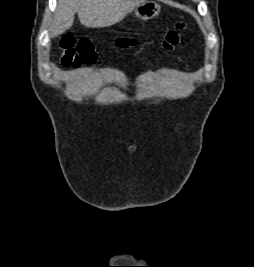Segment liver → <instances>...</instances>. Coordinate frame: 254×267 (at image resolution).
<instances>
[{
  "label": "liver",
  "instance_id": "obj_1",
  "mask_svg": "<svg viewBox=\"0 0 254 267\" xmlns=\"http://www.w3.org/2000/svg\"><path fill=\"white\" fill-rule=\"evenodd\" d=\"M145 0H58L53 19L52 37L63 34L73 22L75 13L87 28H104L123 19Z\"/></svg>",
  "mask_w": 254,
  "mask_h": 267
}]
</instances>
